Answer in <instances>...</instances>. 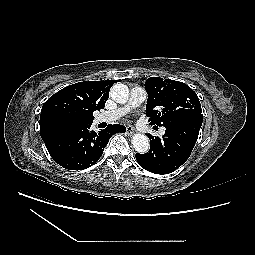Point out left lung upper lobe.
<instances>
[{
    "label": "left lung upper lobe",
    "mask_w": 255,
    "mask_h": 255,
    "mask_svg": "<svg viewBox=\"0 0 255 255\" xmlns=\"http://www.w3.org/2000/svg\"><path fill=\"white\" fill-rule=\"evenodd\" d=\"M145 90L146 115L152 124L165 127L203 117L196 93L183 82L150 77L145 82Z\"/></svg>",
    "instance_id": "5c2ea615"
}]
</instances>
